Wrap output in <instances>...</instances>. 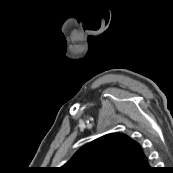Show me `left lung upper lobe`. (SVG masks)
Listing matches in <instances>:
<instances>
[{
    "mask_svg": "<svg viewBox=\"0 0 173 173\" xmlns=\"http://www.w3.org/2000/svg\"><path fill=\"white\" fill-rule=\"evenodd\" d=\"M142 147L125 134L104 135L82 147L62 173H141L148 166Z\"/></svg>",
    "mask_w": 173,
    "mask_h": 173,
    "instance_id": "obj_1",
    "label": "left lung upper lobe"
}]
</instances>
